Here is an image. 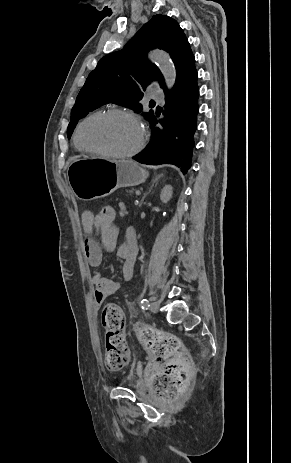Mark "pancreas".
I'll list each match as a JSON object with an SVG mask.
<instances>
[{
	"label": "pancreas",
	"mask_w": 291,
	"mask_h": 463,
	"mask_svg": "<svg viewBox=\"0 0 291 463\" xmlns=\"http://www.w3.org/2000/svg\"><path fill=\"white\" fill-rule=\"evenodd\" d=\"M134 193H135V189H129V190H126L124 194H125L127 197H133V196H134Z\"/></svg>",
	"instance_id": "obj_1"
}]
</instances>
